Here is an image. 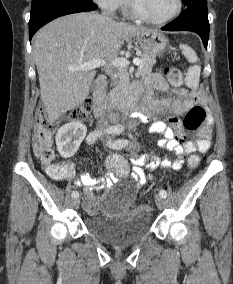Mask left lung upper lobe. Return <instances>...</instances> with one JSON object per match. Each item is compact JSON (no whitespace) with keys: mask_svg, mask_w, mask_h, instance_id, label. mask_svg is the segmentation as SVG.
<instances>
[{"mask_svg":"<svg viewBox=\"0 0 233 284\" xmlns=\"http://www.w3.org/2000/svg\"><path fill=\"white\" fill-rule=\"evenodd\" d=\"M197 1H200V0H183V3H184V6H189L192 3L197 2Z\"/></svg>","mask_w":233,"mask_h":284,"instance_id":"1","label":"left lung upper lobe"}]
</instances>
